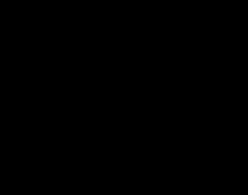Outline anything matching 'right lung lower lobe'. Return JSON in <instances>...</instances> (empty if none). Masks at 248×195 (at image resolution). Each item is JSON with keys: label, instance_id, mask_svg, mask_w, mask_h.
<instances>
[{"label": "right lung lower lobe", "instance_id": "obj_1", "mask_svg": "<svg viewBox=\"0 0 248 195\" xmlns=\"http://www.w3.org/2000/svg\"><path fill=\"white\" fill-rule=\"evenodd\" d=\"M41 131L57 156L89 168L113 153L129 109L103 93L58 88L38 97Z\"/></svg>", "mask_w": 248, "mask_h": 195}]
</instances>
